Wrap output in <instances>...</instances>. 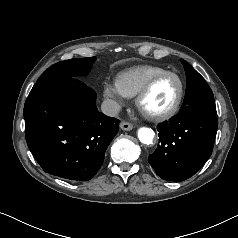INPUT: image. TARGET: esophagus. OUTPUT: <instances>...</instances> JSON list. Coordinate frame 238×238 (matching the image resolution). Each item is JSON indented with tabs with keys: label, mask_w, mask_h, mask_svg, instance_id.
Wrapping results in <instances>:
<instances>
[{
	"label": "esophagus",
	"mask_w": 238,
	"mask_h": 238,
	"mask_svg": "<svg viewBox=\"0 0 238 238\" xmlns=\"http://www.w3.org/2000/svg\"><path fill=\"white\" fill-rule=\"evenodd\" d=\"M120 128L124 131H130L133 129V125L129 122H126V121H122L120 123Z\"/></svg>",
	"instance_id": "obj_1"
}]
</instances>
